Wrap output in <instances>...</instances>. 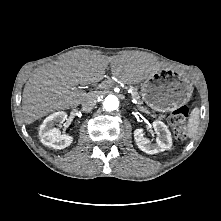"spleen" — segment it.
I'll return each mask as SVG.
<instances>
[{
  "label": "spleen",
  "mask_w": 221,
  "mask_h": 221,
  "mask_svg": "<svg viewBox=\"0 0 221 221\" xmlns=\"http://www.w3.org/2000/svg\"><path fill=\"white\" fill-rule=\"evenodd\" d=\"M199 124V109L196 107L192 110L188 125H187V135L189 138H193L198 131Z\"/></svg>",
  "instance_id": "3e777b00"
}]
</instances>
